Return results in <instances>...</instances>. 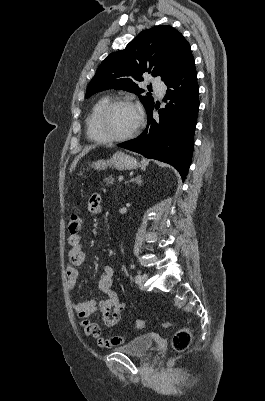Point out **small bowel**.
<instances>
[{
    "mask_svg": "<svg viewBox=\"0 0 265 401\" xmlns=\"http://www.w3.org/2000/svg\"><path fill=\"white\" fill-rule=\"evenodd\" d=\"M88 207L94 214L101 212L102 206L99 194H93L90 197ZM68 244L70 250L68 252V265L66 268L67 287L69 290H73L79 278L77 267L85 261V252L82 249L81 237L77 234H71L68 237ZM113 278L114 269L111 266H105L98 279V288L107 298H92L84 302L72 304L74 312L81 319V326L86 336L97 339L99 347L108 349L123 344L124 338L122 336L103 337L99 326L88 320V317L94 312H99L106 327L111 328L118 324L124 304L112 288Z\"/></svg>",
    "mask_w": 265,
    "mask_h": 401,
    "instance_id": "obj_1",
    "label": "small bowel"
}]
</instances>
